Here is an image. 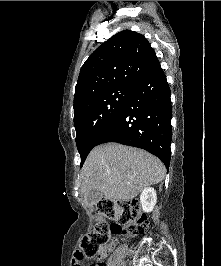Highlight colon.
<instances>
[{
	"label": "colon",
	"instance_id": "1",
	"mask_svg": "<svg viewBox=\"0 0 221 266\" xmlns=\"http://www.w3.org/2000/svg\"><path fill=\"white\" fill-rule=\"evenodd\" d=\"M96 216L99 219H108L112 223L99 222L94 229L84 235L80 247L84 252V258L98 260L91 266H106L102 260L103 246L107 244L113 235L140 236L147 232L148 219L141 213L140 205L136 200L112 201L103 199L97 203Z\"/></svg>",
	"mask_w": 221,
	"mask_h": 266
}]
</instances>
